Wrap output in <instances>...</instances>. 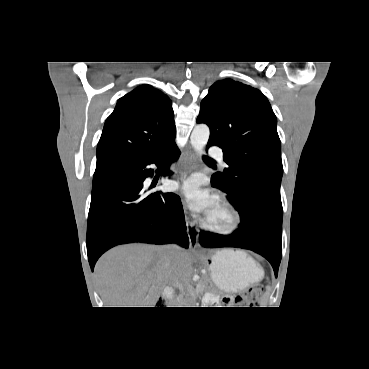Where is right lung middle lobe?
Returning a JSON list of instances; mask_svg holds the SVG:
<instances>
[{
	"mask_svg": "<svg viewBox=\"0 0 369 369\" xmlns=\"http://www.w3.org/2000/svg\"><path fill=\"white\" fill-rule=\"evenodd\" d=\"M118 163H103V164H97L96 170L94 173L93 180L99 178L104 173L110 171L112 168H114Z\"/></svg>",
	"mask_w": 369,
	"mask_h": 369,
	"instance_id": "right-lung-middle-lobe-1",
	"label": "right lung middle lobe"
}]
</instances>
